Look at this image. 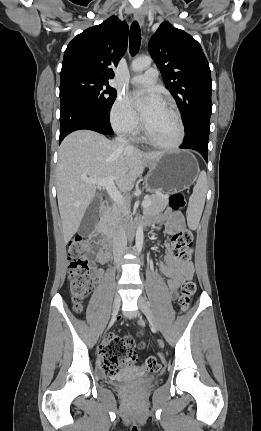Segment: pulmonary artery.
<instances>
[{
  "label": "pulmonary artery",
  "mask_w": 261,
  "mask_h": 431,
  "mask_svg": "<svg viewBox=\"0 0 261 431\" xmlns=\"http://www.w3.org/2000/svg\"><path fill=\"white\" fill-rule=\"evenodd\" d=\"M158 70L155 68L148 69L145 73L131 77V82L135 85H151L158 79Z\"/></svg>",
  "instance_id": "obj_1"
}]
</instances>
